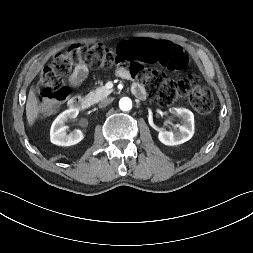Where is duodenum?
I'll list each match as a JSON object with an SVG mask.
<instances>
[{
	"instance_id": "410a0bca",
	"label": "duodenum",
	"mask_w": 253,
	"mask_h": 253,
	"mask_svg": "<svg viewBox=\"0 0 253 253\" xmlns=\"http://www.w3.org/2000/svg\"><path fill=\"white\" fill-rule=\"evenodd\" d=\"M136 95L142 97L141 91L137 90ZM91 106V99L83 96H74L69 100V107L77 111H85Z\"/></svg>"
}]
</instances>
